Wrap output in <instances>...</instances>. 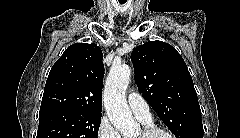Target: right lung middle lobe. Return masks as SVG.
Returning a JSON list of instances; mask_svg holds the SVG:
<instances>
[{
  "label": "right lung middle lobe",
  "instance_id": "obj_1",
  "mask_svg": "<svg viewBox=\"0 0 240 138\" xmlns=\"http://www.w3.org/2000/svg\"><path fill=\"white\" fill-rule=\"evenodd\" d=\"M101 114L56 111L39 115L37 138H97Z\"/></svg>",
  "mask_w": 240,
  "mask_h": 138
}]
</instances>
